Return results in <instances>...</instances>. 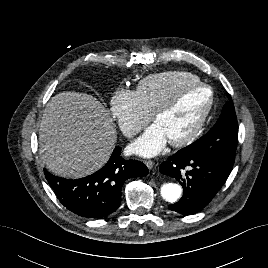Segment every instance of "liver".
<instances>
[{"label":"liver","mask_w":268,"mask_h":268,"mask_svg":"<svg viewBox=\"0 0 268 268\" xmlns=\"http://www.w3.org/2000/svg\"><path fill=\"white\" fill-rule=\"evenodd\" d=\"M116 140L109 111L92 95L65 91L47 103L39 153L51 173L64 178L92 174L109 160Z\"/></svg>","instance_id":"1"}]
</instances>
